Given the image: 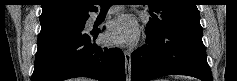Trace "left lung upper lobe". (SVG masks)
<instances>
[{
  "instance_id": "1",
  "label": "left lung upper lobe",
  "mask_w": 237,
  "mask_h": 81,
  "mask_svg": "<svg viewBox=\"0 0 237 81\" xmlns=\"http://www.w3.org/2000/svg\"><path fill=\"white\" fill-rule=\"evenodd\" d=\"M152 14L147 26L148 35H156L173 27H201L195 0H152Z\"/></svg>"
}]
</instances>
